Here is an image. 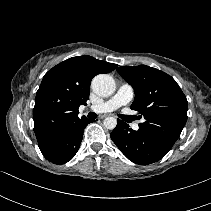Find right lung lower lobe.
<instances>
[{
    "label": "right lung lower lobe",
    "mask_w": 211,
    "mask_h": 211,
    "mask_svg": "<svg viewBox=\"0 0 211 211\" xmlns=\"http://www.w3.org/2000/svg\"><path fill=\"white\" fill-rule=\"evenodd\" d=\"M90 122L86 117L81 118L38 142L43 156L55 164L70 161L80 147L85 126Z\"/></svg>",
    "instance_id": "98d812e1"
}]
</instances>
